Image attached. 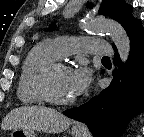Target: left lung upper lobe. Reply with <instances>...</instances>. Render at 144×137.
Returning <instances> with one entry per match:
<instances>
[{"label":"left lung upper lobe","instance_id":"obj_1","mask_svg":"<svg viewBox=\"0 0 144 137\" xmlns=\"http://www.w3.org/2000/svg\"><path fill=\"white\" fill-rule=\"evenodd\" d=\"M131 11L132 6L126 4L123 0H103L99 13L118 21L129 34L140 23V20H135L132 17ZM54 29L55 25H52L51 30ZM112 45L115 47L114 44Z\"/></svg>","mask_w":144,"mask_h":137}]
</instances>
